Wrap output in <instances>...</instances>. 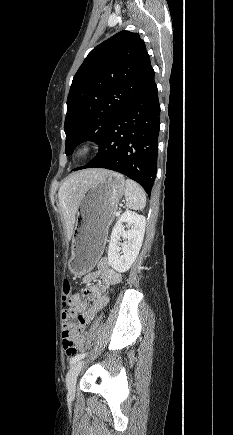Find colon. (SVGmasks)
<instances>
[{"label": "colon", "mask_w": 233, "mask_h": 435, "mask_svg": "<svg viewBox=\"0 0 233 435\" xmlns=\"http://www.w3.org/2000/svg\"><path fill=\"white\" fill-rule=\"evenodd\" d=\"M72 284L69 280L64 279L62 282V299L65 306H68V300L72 293ZM63 337V347L68 356H73L77 352V345L74 342L73 335L70 328H65L62 333Z\"/></svg>", "instance_id": "colon-1"}]
</instances>
